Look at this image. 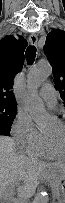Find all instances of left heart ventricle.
Wrapping results in <instances>:
<instances>
[{
  "label": "left heart ventricle",
  "mask_w": 65,
  "mask_h": 203,
  "mask_svg": "<svg viewBox=\"0 0 65 203\" xmlns=\"http://www.w3.org/2000/svg\"><path fill=\"white\" fill-rule=\"evenodd\" d=\"M45 135L54 140L58 144V148L62 149L64 145V128L61 123H58L53 128L46 131Z\"/></svg>",
  "instance_id": "obj_1"
}]
</instances>
